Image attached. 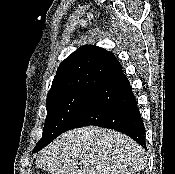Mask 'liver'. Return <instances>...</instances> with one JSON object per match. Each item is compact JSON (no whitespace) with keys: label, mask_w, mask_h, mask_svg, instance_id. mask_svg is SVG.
I'll list each match as a JSON object with an SVG mask.
<instances>
[{"label":"liver","mask_w":175,"mask_h":174,"mask_svg":"<svg viewBox=\"0 0 175 174\" xmlns=\"http://www.w3.org/2000/svg\"><path fill=\"white\" fill-rule=\"evenodd\" d=\"M145 154L123 133L86 126L60 135L35 164L51 174H135L146 166Z\"/></svg>","instance_id":"1"}]
</instances>
